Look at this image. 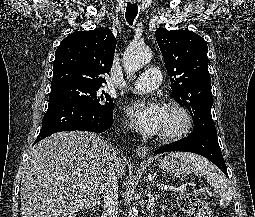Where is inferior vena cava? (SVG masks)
Here are the masks:
<instances>
[{
	"mask_svg": "<svg viewBox=\"0 0 255 217\" xmlns=\"http://www.w3.org/2000/svg\"><path fill=\"white\" fill-rule=\"evenodd\" d=\"M112 151V162L115 158V150ZM117 169L112 164L107 171L104 186V207L102 217H117L118 214V179Z\"/></svg>",
	"mask_w": 255,
	"mask_h": 217,
	"instance_id": "1",
	"label": "inferior vena cava"
}]
</instances>
